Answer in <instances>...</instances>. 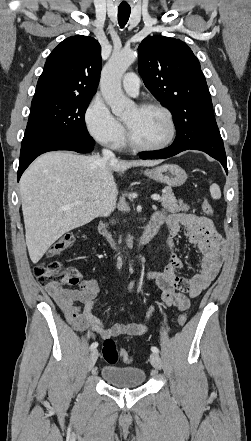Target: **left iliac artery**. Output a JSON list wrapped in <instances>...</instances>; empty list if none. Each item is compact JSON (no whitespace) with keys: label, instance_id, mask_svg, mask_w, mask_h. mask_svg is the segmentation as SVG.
Masks as SVG:
<instances>
[{"label":"left iliac artery","instance_id":"1","mask_svg":"<svg viewBox=\"0 0 251 441\" xmlns=\"http://www.w3.org/2000/svg\"><path fill=\"white\" fill-rule=\"evenodd\" d=\"M151 351H152L153 353H159V349H158L157 347H155V346H152V347H151Z\"/></svg>","mask_w":251,"mask_h":441}]
</instances>
